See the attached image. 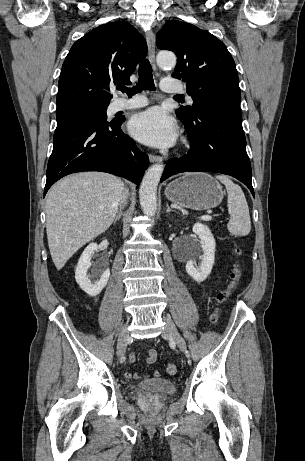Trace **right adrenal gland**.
<instances>
[{
  "mask_svg": "<svg viewBox=\"0 0 305 461\" xmlns=\"http://www.w3.org/2000/svg\"><path fill=\"white\" fill-rule=\"evenodd\" d=\"M121 217H122V210L119 209V210L117 211L116 217H115L114 220H113V223L115 224L117 221L120 220Z\"/></svg>",
  "mask_w": 305,
  "mask_h": 461,
  "instance_id": "1",
  "label": "right adrenal gland"
}]
</instances>
